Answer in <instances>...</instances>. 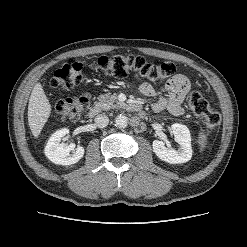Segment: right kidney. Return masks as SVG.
Wrapping results in <instances>:
<instances>
[{
	"instance_id": "obj_1",
	"label": "right kidney",
	"mask_w": 247,
	"mask_h": 247,
	"mask_svg": "<svg viewBox=\"0 0 247 247\" xmlns=\"http://www.w3.org/2000/svg\"><path fill=\"white\" fill-rule=\"evenodd\" d=\"M69 133V129L63 128L56 131L49 138L44 153L46 157L55 164L71 165L77 163L84 155V148L74 144L60 143L61 139ZM73 151V154L70 152Z\"/></svg>"
}]
</instances>
